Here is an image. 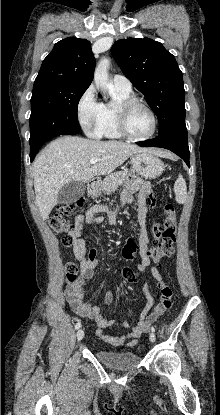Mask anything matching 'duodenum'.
I'll return each instance as SVG.
<instances>
[{"label": "duodenum", "instance_id": "duodenum-1", "mask_svg": "<svg viewBox=\"0 0 220 415\" xmlns=\"http://www.w3.org/2000/svg\"><path fill=\"white\" fill-rule=\"evenodd\" d=\"M95 186H96V181H90L89 182V184H88V188L90 189V190H92V189H94L95 188Z\"/></svg>", "mask_w": 220, "mask_h": 415}]
</instances>
